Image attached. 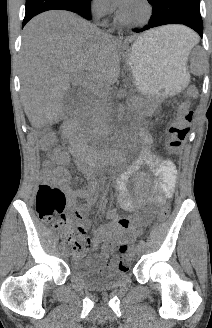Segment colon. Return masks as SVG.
<instances>
[{"label": "colon", "mask_w": 212, "mask_h": 328, "mask_svg": "<svg viewBox=\"0 0 212 328\" xmlns=\"http://www.w3.org/2000/svg\"><path fill=\"white\" fill-rule=\"evenodd\" d=\"M198 99V90L196 87H189L185 94V99L181 103V113L178 119L170 126L168 148L176 153L180 150L185 138L190 131V125L193 118L191 106ZM54 143L52 134L44 135L40 140L42 150H47ZM66 200L65 194L60 187L54 184H41L36 194V212L39 218L53 227H61L64 224L65 215L63 213ZM170 214V207L164 205L158 212V220L165 221ZM62 241L70 246L74 254L83 253L88 247V239L84 235V230H65L61 235ZM129 248L126 244L121 245V259L119 267L127 268L126 256Z\"/></svg>", "instance_id": "colon-1"}]
</instances>
